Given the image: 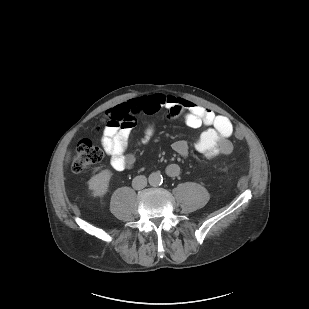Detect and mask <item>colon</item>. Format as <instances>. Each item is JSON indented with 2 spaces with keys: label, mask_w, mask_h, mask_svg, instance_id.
<instances>
[{
  "label": "colon",
  "mask_w": 309,
  "mask_h": 309,
  "mask_svg": "<svg viewBox=\"0 0 309 309\" xmlns=\"http://www.w3.org/2000/svg\"><path fill=\"white\" fill-rule=\"evenodd\" d=\"M112 111L110 120H112L113 117ZM116 122H118L120 126L128 125L134 127L135 125V119L129 113L123 114ZM235 137L237 139H242L243 133L240 130H236ZM103 155V150L99 146L94 145L88 139H83L76 147V152L72 159V170L75 173L83 172L91 166L99 163L102 160Z\"/></svg>",
  "instance_id": "obj_1"
}]
</instances>
